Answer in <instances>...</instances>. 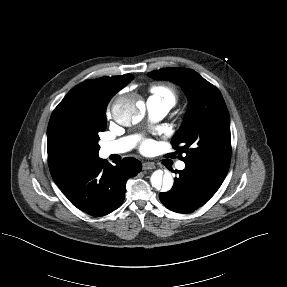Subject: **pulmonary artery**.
Wrapping results in <instances>:
<instances>
[{"mask_svg":"<svg viewBox=\"0 0 287 287\" xmlns=\"http://www.w3.org/2000/svg\"><path fill=\"white\" fill-rule=\"evenodd\" d=\"M172 108L168 102L160 101L154 98L147 100V110L152 121H159L167 115ZM137 141L136 136H127L115 141L105 142L102 145V152L105 155L121 154L131 150ZM177 168L182 170L185 168L184 162H179Z\"/></svg>","mask_w":287,"mask_h":287,"instance_id":"obj_1","label":"pulmonary artery"}]
</instances>
